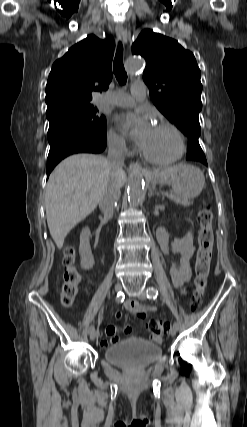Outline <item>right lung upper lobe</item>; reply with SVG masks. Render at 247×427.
I'll return each instance as SVG.
<instances>
[{"label":"right lung upper lobe","instance_id":"cb5924a9","mask_svg":"<svg viewBox=\"0 0 247 427\" xmlns=\"http://www.w3.org/2000/svg\"><path fill=\"white\" fill-rule=\"evenodd\" d=\"M114 40L94 35L71 47L52 66L46 85L47 113L90 104L91 92L108 89L112 80Z\"/></svg>","mask_w":247,"mask_h":427}]
</instances>
